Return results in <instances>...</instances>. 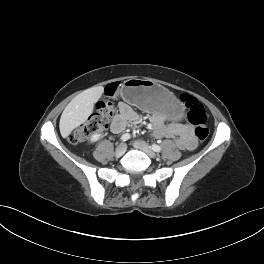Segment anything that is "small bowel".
<instances>
[{
	"label": "small bowel",
	"mask_w": 264,
	"mask_h": 264,
	"mask_svg": "<svg viewBox=\"0 0 264 264\" xmlns=\"http://www.w3.org/2000/svg\"><path fill=\"white\" fill-rule=\"evenodd\" d=\"M119 113L115 116L111 128L114 132H121L127 125H134L140 121V115L127 103L120 102ZM152 136L155 138H172L181 149L192 150L196 147L193 128L188 123L167 122L160 113L151 117Z\"/></svg>",
	"instance_id": "small-bowel-1"
}]
</instances>
